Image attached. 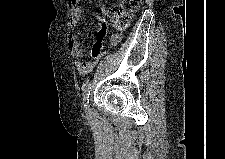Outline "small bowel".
Segmentation results:
<instances>
[{
	"mask_svg": "<svg viewBox=\"0 0 225 159\" xmlns=\"http://www.w3.org/2000/svg\"><path fill=\"white\" fill-rule=\"evenodd\" d=\"M82 15V8L79 5H72L71 14L69 18V28H70V36L68 39V48L72 55L75 58H81L84 54V50L80 47L79 40H78V24ZM106 28L102 26L99 28L97 32L96 42L93 45L91 50L90 56L91 60L82 61L77 60L75 62V69L76 73L79 76H85L87 73L91 72L93 67L95 66L99 51L103 45L105 36H106ZM118 36L112 37V43H116L118 41Z\"/></svg>",
	"mask_w": 225,
	"mask_h": 159,
	"instance_id": "c3829d8e",
	"label": "small bowel"
}]
</instances>
